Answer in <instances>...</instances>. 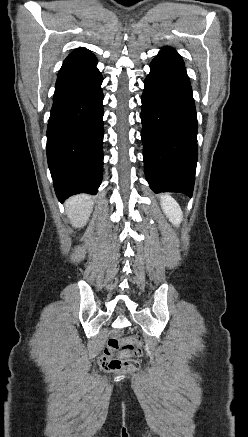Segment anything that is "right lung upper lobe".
<instances>
[{
	"label": "right lung upper lobe",
	"instance_id": "obj_1",
	"mask_svg": "<svg viewBox=\"0 0 248 437\" xmlns=\"http://www.w3.org/2000/svg\"><path fill=\"white\" fill-rule=\"evenodd\" d=\"M89 55H93L89 50H87L85 48H78V49L74 50L67 58L89 56Z\"/></svg>",
	"mask_w": 248,
	"mask_h": 437
}]
</instances>
